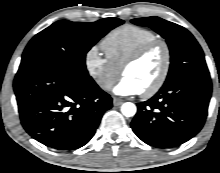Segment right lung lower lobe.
<instances>
[{
    "instance_id": "right-lung-lower-lobe-1",
    "label": "right lung lower lobe",
    "mask_w": 220,
    "mask_h": 173,
    "mask_svg": "<svg viewBox=\"0 0 220 173\" xmlns=\"http://www.w3.org/2000/svg\"><path fill=\"white\" fill-rule=\"evenodd\" d=\"M21 123L30 136L57 150H74L93 137L112 98L90 76L54 68H19L15 80Z\"/></svg>"
}]
</instances>
